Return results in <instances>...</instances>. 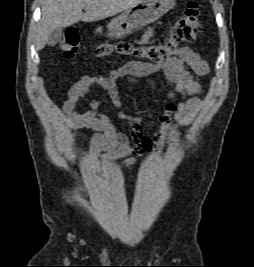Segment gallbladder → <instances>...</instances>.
I'll return each instance as SVG.
<instances>
[{
	"label": "gallbladder",
	"mask_w": 254,
	"mask_h": 267,
	"mask_svg": "<svg viewBox=\"0 0 254 267\" xmlns=\"http://www.w3.org/2000/svg\"><path fill=\"white\" fill-rule=\"evenodd\" d=\"M62 38H63V30L56 29L50 34L47 44L49 46H55L58 42L61 41Z\"/></svg>",
	"instance_id": "obj_1"
}]
</instances>
